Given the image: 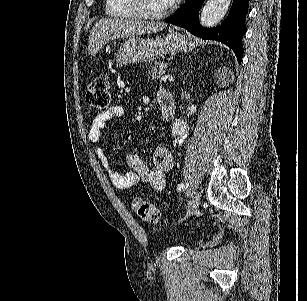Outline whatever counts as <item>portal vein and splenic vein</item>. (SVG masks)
Masks as SVG:
<instances>
[{
    "label": "portal vein and splenic vein",
    "instance_id": "1",
    "mask_svg": "<svg viewBox=\"0 0 307 301\" xmlns=\"http://www.w3.org/2000/svg\"><path fill=\"white\" fill-rule=\"evenodd\" d=\"M161 80H174L173 76H168V74H163Z\"/></svg>",
    "mask_w": 307,
    "mask_h": 301
}]
</instances>
